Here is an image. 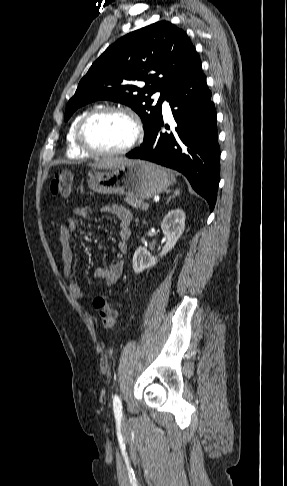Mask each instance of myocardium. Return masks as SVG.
<instances>
[{
  "label": "myocardium",
  "instance_id": "f54148a6",
  "mask_svg": "<svg viewBox=\"0 0 287 486\" xmlns=\"http://www.w3.org/2000/svg\"><path fill=\"white\" fill-rule=\"evenodd\" d=\"M109 113H118L125 116L131 122L134 129V134L131 141L124 147L113 151H100L92 148L87 143L85 138V129L86 126L92 120ZM142 138H143V128L139 118L131 110L116 105H109V106L100 107L92 111H89L79 121L75 132V139L78 148L86 155L91 157H97V158H111V157L125 155L129 153L131 150H133L141 142Z\"/></svg>",
  "mask_w": 287,
  "mask_h": 486
}]
</instances>
